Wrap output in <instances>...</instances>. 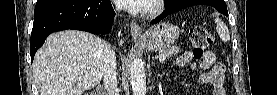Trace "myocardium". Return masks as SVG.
<instances>
[{
    "label": "myocardium",
    "mask_w": 277,
    "mask_h": 95,
    "mask_svg": "<svg viewBox=\"0 0 277 95\" xmlns=\"http://www.w3.org/2000/svg\"><path fill=\"white\" fill-rule=\"evenodd\" d=\"M163 11V0H151V3L140 11L141 17L151 19L161 14Z\"/></svg>",
    "instance_id": "1"
}]
</instances>
